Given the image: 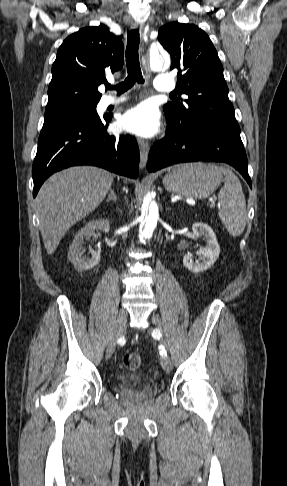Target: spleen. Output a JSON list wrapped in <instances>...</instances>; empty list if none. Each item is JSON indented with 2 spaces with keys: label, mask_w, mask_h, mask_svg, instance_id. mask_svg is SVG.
<instances>
[{
  "label": "spleen",
  "mask_w": 287,
  "mask_h": 486,
  "mask_svg": "<svg viewBox=\"0 0 287 486\" xmlns=\"http://www.w3.org/2000/svg\"><path fill=\"white\" fill-rule=\"evenodd\" d=\"M225 175L224 186L218 193V216L233 237L240 236L246 226V200L238 177L229 169L217 167Z\"/></svg>",
  "instance_id": "1"
}]
</instances>
